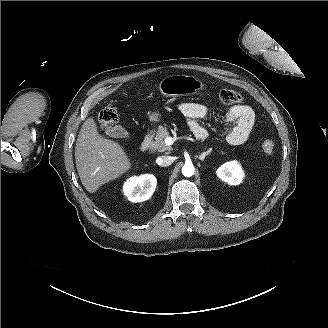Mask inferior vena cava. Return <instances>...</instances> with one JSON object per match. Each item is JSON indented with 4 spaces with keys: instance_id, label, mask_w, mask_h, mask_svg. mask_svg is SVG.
<instances>
[{
    "instance_id": "inferior-vena-cava-1",
    "label": "inferior vena cava",
    "mask_w": 328,
    "mask_h": 328,
    "mask_svg": "<svg viewBox=\"0 0 328 328\" xmlns=\"http://www.w3.org/2000/svg\"><path fill=\"white\" fill-rule=\"evenodd\" d=\"M173 158L171 156H160L157 158L156 162L162 167L169 166L173 163Z\"/></svg>"
}]
</instances>
